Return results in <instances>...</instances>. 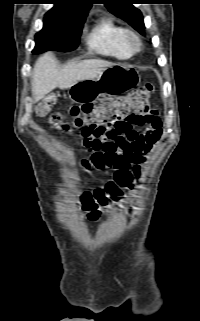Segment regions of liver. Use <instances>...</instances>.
<instances>
[{
	"label": "liver",
	"mask_w": 200,
	"mask_h": 321,
	"mask_svg": "<svg viewBox=\"0 0 200 321\" xmlns=\"http://www.w3.org/2000/svg\"><path fill=\"white\" fill-rule=\"evenodd\" d=\"M113 63L100 59L68 63L63 68L52 53H45L34 65L32 75V94L35 102L43 99L55 88L68 89L79 81L94 79Z\"/></svg>",
	"instance_id": "obj_1"
}]
</instances>
